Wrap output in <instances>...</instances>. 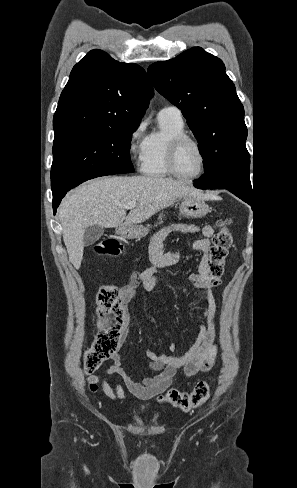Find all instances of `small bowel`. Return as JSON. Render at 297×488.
Returning <instances> with one entry per match:
<instances>
[{
	"label": "small bowel",
	"instance_id": "c3829d8e",
	"mask_svg": "<svg viewBox=\"0 0 297 488\" xmlns=\"http://www.w3.org/2000/svg\"><path fill=\"white\" fill-rule=\"evenodd\" d=\"M172 231L200 233V238L192 243V248L200 252L202 258L197 272L191 274L188 281L194 297L203 304L201 317L205 323L198 325V334L194 343L181 354L176 353L177 345L174 342L168 345L170 354L155 353L147 349V356L151 360L149 370L154 374L142 379H135L122 364L118 348L111 356L113 361L111 366L102 372L91 374L87 378L88 387L92 392H97L101 388L104 395L111 400H126L127 396L122 385L117 381H114L112 385L110 383V377L116 375L122 379L124 386L134 397L139 400H148L171 388L174 384V376L179 369L183 370L185 376L192 377L207 371L214 363L213 343L216 338L217 305L213 290L219 282L211 279L208 272L210 238L213 235L211 226L197 227L189 224H176L157 232L150 243L149 257L152 266L143 272H133L129 282L120 289L118 294L122 303L128 304L137 297L139 288L152 291L156 287L157 270L176 263L182 254L180 251H164V243ZM98 324L100 325V320ZM132 326L131 316L125 312V331Z\"/></svg>",
	"mask_w": 297,
	"mask_h": 488
}]
</instances>
